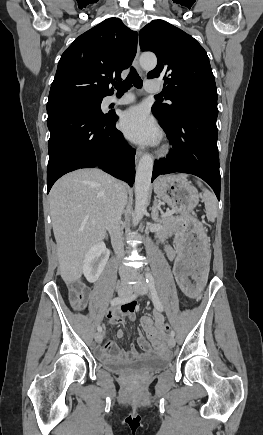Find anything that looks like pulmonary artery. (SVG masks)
<instances>
[{
	"instance_id": "obj_1",
	"label": "pulmonary artery",
	"mask_w": 263,
	"mask_h": 435,
	"mask_svg": "<svg viewBox=\"0 0 263 435\" xmlns=\"http://www.w3.org/2000/svg\"><path fill=\"white\" fill-rule=\"evenodd\" d=\"M147 92L158 93L161 91V86L157 81L149 80L145 84ZM135 101V98L131 94H126L121 98H116L115 96H109L106 98L107 104L125 105L130 104Z\"/></svg>"
}]
</instances>
